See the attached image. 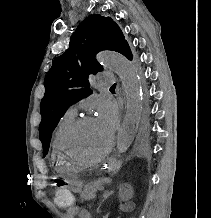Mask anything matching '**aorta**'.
<instances>
[{
    "mask_svg": "<svg viewBox=\"0 0 211 218\" xmlns=\"http://www.w3.org/2000/svg\"><path fill=\"white\" fill-rule=\"evenodd\" d=\"M98 61L114 71L121 79L127 99V110L117 136L119 153L125 152L131 145L137 132L142 113V87L139 76L132 64L121 54L101 52Z\"/></svg>",
    "mask_w": 211,
    "mask_h": 218,
    "instance_id": "aorta-1",
    "label": "aorta"
}]
</instances>
